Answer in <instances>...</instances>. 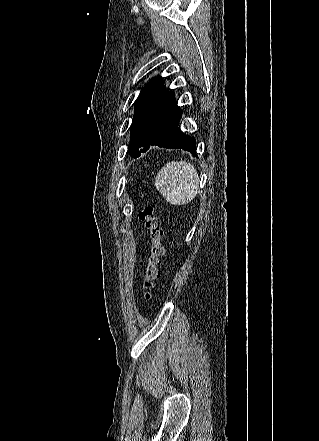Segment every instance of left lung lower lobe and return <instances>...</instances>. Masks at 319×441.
I'll use <instances>...</instances> for the list:
<instances>
[{"instance_id":"obj_1","label":"left lung lower lobe","mask_w":319,"mask_h":441,"mask_svg":"<svg viewBox=\"0 0 319 441\" xmlns=\"http://www.w3.org/2000/svg\"><path fill=\"white\" fill-rule=\"evenodd\" d=\"M182 117V111L179 108L178 111L173 114L155 133L152 137L148 148L150 146H159L164 148H175L189 151L191 154L196 155V141L193 137L188 136L181 132L178 127L179 121Z\"/></svg>"}]
</instances>
